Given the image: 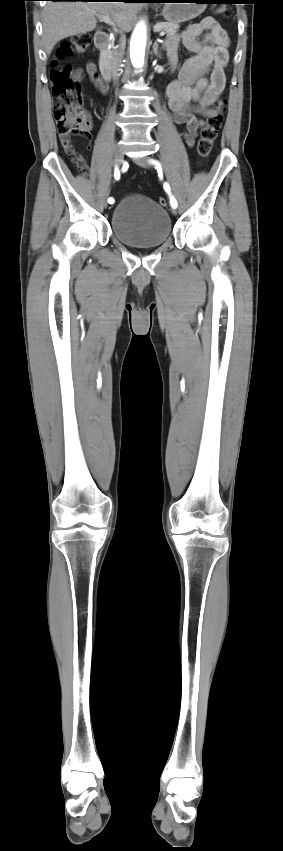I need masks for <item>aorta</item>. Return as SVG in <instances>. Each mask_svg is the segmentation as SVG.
<instances>
[{"mask_svg":"<svg viewBox=\"0 0 283 851\" xmlns=\"http://www.w3.org/2000/svg\"><path fill=\"white\" fill-rule=\"evenodd\" d=\"M146 47V27L143 22L137 24L130 41V57L135 68H141L144 63Z\"/></svg>","mask_w":283,"mask_h":851,"instance_id":"762f6f07","label":"aorta"}]
</instances>
